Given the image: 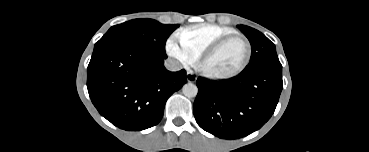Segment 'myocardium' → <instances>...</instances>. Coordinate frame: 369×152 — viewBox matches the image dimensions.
<instances>
[{
	"label": "myocardium",
	"mask_w": 369,
	"mask_h": 152,
	"mask_svg": "<svg viewBox=\"0 0 369 152\" xmlns=\"http://www.w3.org/2000/svg\"><path fill=\"white\" fill-rule=\"evenodd\" d=\"M233 39H241L246 45V55L241 65L234 71L227 73V74H217V73L209 71L205 67L206 62L214 54H216L227 42ZM251 54H252V46H251L250 41L244 35L240 33H233V34L221 37L220 39L212 43L210 46H208L203 51L201 56L199 57L197 68L205 77L211 80H216V81L229 80V79H232L238 76L240 73H242L245 70V68L248 66L250 62Z\"/></svg>",
	"instance_id": "myocardium-1"
}]
</instances>
